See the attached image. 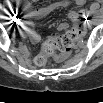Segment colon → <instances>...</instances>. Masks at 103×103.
Here are the masks:
<instances>
[{
    "label": "colon",
    "mask_w": 103,
    "mask_h": 103,
    "mask_svg": "<svg viewBox=\"0 0 103 103\" xmlns=\"http://www.w3.org/2000/svg\"><path fill=\"white\" fill-rule=\"evenodd\" d=\"M71 18L74 22V27L71 30L67 31L63 35L48 39L42 45V48L35 59L38 66L49 64L56 50L67 53L78 41L80 37L79 26L84 21L85 15L81 10L76 9L71 13Z\"/></svg>",
    "instance_id": "5ec220e1"
}]
</instances>
